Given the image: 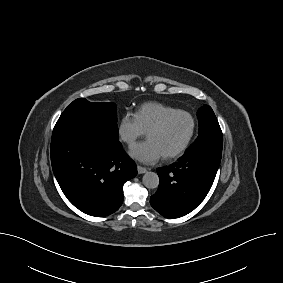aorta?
Returning <instances> with one entry per match:
<instances>
[{
	"label": "aorta",
	"instance_id": "aorta-1",
	"mask_svg": "<svg viewBox=\"0 0 283 283\" xmlns=\"http://www.w3.org/2000/svg\"><path fill=\"white\" fill-rule=\"evenodd\" d=\"M143 184L145 187L147 188H157L159 185V177L156 173L154 172H147L145 173V175L143 176Z\"/></svg>",
	"mask_w": 283,
	"mask_h": 283
}]
</instances>
